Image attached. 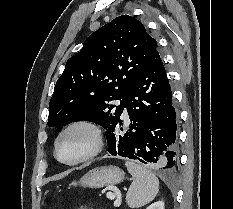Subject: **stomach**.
<instances>
[{"mask_svg":"<svg viewBox=\"0 0 233 209\" xmlns=\"http://www.w3.org/2000/svg\"><path fill=\"white\" fill-rule=\"evenodd\" d=\"M124 179L123 171L116 166H100L87 172L78 183L83 187L102 188L107 185L119 184Z\"/></svg>","mask_w":233,"mask_h":209,"instance_id":"obj_1","label":"stomach"}]
</instances>
